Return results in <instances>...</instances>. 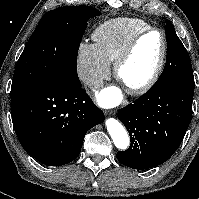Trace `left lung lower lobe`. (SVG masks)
I'll use <instances>...</instances> for the list:
<instances>
[{
    "label": "left lung lower lobe",
    "mask_w": 199,
    "mask_h": 199,
    "mask_svg": "<svg viewBox=\"0 0 199 199\" xmlns=\"http://www.w3.org/2000/svg\"><path fill=\"white\" fill-rule=\"evenodd\" d=\"M192 82H178L149 90L122 108L118 119L131 144L117 159L133 169H148L167 161L180 146L192 118Z\"/></svg>",
    "instance_id": "0a47b994"
}]
</instances>
